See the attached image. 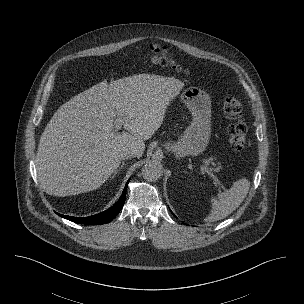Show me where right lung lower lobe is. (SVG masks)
Masks as SVG:
<instances>
[{"label":"right lung lower lobe","mask_w":304,"mask_h":304,"mask_svg":"<svg viewBox=\"0 0 304 304\" xmlns=\"http://www.w3.org/2000/svg\"><path fill=\"white\" fill-rule=\"evenodd\" d=\"M129 182V181H128ZM128 182L123 190V193L120 197V199L108 210L103 211L99 214L89 216V217H72V216H66L58 214L59 216L68 219L75 223L80 224H88V225H99V224H106L110 222L113 218H115L120 210L123 208L125 197H126V190Z\"/></svg>","instance_id":"obj_1"}]
</instances>
